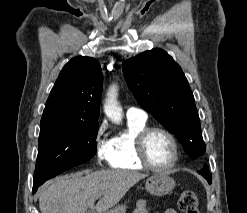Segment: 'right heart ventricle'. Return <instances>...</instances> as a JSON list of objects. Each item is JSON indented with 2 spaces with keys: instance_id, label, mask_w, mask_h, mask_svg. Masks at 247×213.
Returning <instances> with one entry per match:
<instances>
[{
  "instance_id": "right-heart-ventricle-1",
  "label": "right heart ventricle",
  "mask_w": 247,
  "mask_h": 213,
  "mask_svg": "<svg viewBox=\"0 0 247 213\" xmlns=\"http://www.w3.org/2000/svg\"><path fill=\"white\" fill-rule=\"evenodd\" d=\"M146 127V120L128 119L127 128L110 141V166L118 169L142 170L144 167L135 156L136 135Z\"/></svg>"
}]
</instances>
